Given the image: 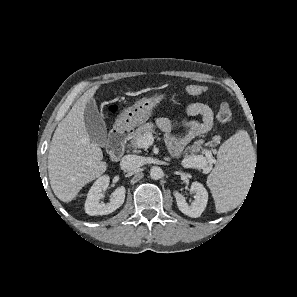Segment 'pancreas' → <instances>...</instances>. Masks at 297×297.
I'll return each instance as SVG.
<instances>
[{
	"mask_svg": "<svg viewBox=\"0 0 297 297\" xmlns=\"http://www.w3.org/2000/svg\"><path fill=\"white\" fill-rule=\"evenodd\" d=\"M155 125L153 123H146L141 125L139 128L136 129V131L131 135V144L133 147H141L139 146V140L145 135V134H152L154 133ZM200 148H196L192 150L191 157L196 156L195 153L199 152Z\"/></svg>",
	"mask_w": 297,
	"mask_h": 297,
	"instance_id": "obj_1",
	"label": "pancreas"
}]
</instances>
